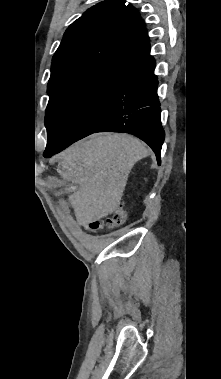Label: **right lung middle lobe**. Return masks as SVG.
Listing matches in <instances>:
<instances>
[{"mask_svg": "<svg viewBox=\"0 0 221 379\" xmlns=\"http://www.w3.org/2000/svg\"><path fill=\"white\" fill-rule=\"evenodd\" d=\"M121 78L100 77L51 94L46 109L47 147L93 133L114 105Z\"/></svg>", "mask_w": 221, "mask_h": 379, "instance_id": "1", "label": "right lung middle lobe"}]
</instances>
